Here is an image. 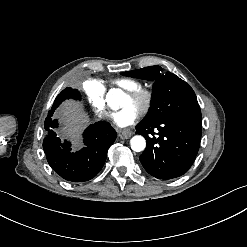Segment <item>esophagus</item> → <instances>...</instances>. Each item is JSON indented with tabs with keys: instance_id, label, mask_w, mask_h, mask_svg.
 Wrapping results in <instances>:
<instances>
[{
	"instance_id": "esophagus-1",
	"label": "esophagus",
	"mask_w": 247,
	"mask_h": 247,
	"mask_svg": "<svg viewBox=\"0 0 247 247\" xmlns=\"http://www.w3.org/2000/svg\"><path fill=\"white\" fill-rule=\"evenodd\" d=\"M134 134V132L132 130L129 129H122L121 130V137L123 139H128L130 138L132 135Z\"/></svg>"
}]
</instances>
